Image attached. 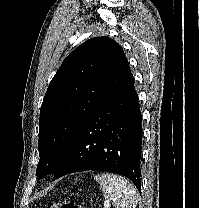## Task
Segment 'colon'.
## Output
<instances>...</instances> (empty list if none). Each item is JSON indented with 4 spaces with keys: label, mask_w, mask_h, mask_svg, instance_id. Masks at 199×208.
<instances>
[{
    "label": "colon",
    "mask_w": 199,
    "mask_h": 208,
    "mask_svg": "<svg viewBox=\"0 0 199 208\" xmlns=\"http://www.w3.org/2000/svg\"><path fill=\"white\" fill-rule=\"evenodd\" d=\"M46 208H83L74 201L49 202Z\"/></svg>",
    "instance_id": "colon-1"
}]
</instances>
